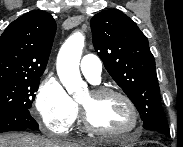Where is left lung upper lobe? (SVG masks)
Masks as SVG:
<instances>
[{"label":"left lung upper lobe","instance_id":"5c2ea615","mask_svg":"<svg viewBox=\"0 0 183 147\" xmlns=\"http://www.w3.org/2000/svg\"><path fill=\"white\" fill-rule=\"evenodd\" d=\"M93 45L114 81L134 103L143 127L170 134L160 101L155 60L148 39L123 12L102 11L91 19Z\"/></svg>","mask_w":183,"mask_h":147}]
</instances>
